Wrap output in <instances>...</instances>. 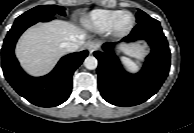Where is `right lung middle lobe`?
I'll list each match as a JSON object with an SVG mask.
<instances>
[{
    "mask_svg": "<svg viewBox=\"0 0 194 133\" xmlns=\"http://www.w3.org/2000/svg\"><path fill=\"white\" fill-rule=\"evenodd\" d=\"M56 13L64 16L65 8L62 6H56V5H40L20 15L18 18H16V20H19V19L31 20L35 18L54 16Z\"/></svg>",
    "mask_w": 194,
    "mask_h": 133,
    "instance_id": "obj_1",
    "label": "right lung middle lobe"
}]
</instances>
